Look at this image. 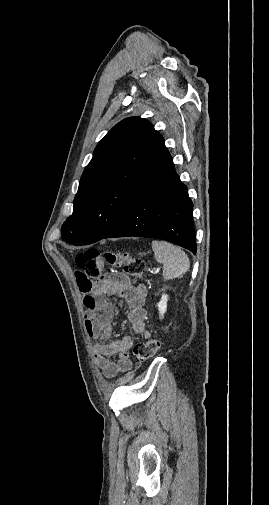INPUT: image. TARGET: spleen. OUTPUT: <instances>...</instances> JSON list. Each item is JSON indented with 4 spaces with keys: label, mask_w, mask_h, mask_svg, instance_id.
Masks as SVG:
<instances>
[{
    "label": "spleen",
    "mask_w": 269,
    "mask_h": 505,
    "mask_svg": "<svg viewBox=\"0 0 269 505\" xmlns=\"http://www.w3.org/2000/svg\"><path fill=\"white\" fill-rule=\"evenodd\" d=\"M151 245L156 261L163 264L164 279L178 278L189 270V258L179 247L159 240H153Z\"/></svg>",
    "instance_id": "3e777b00"
}]
</instances>
